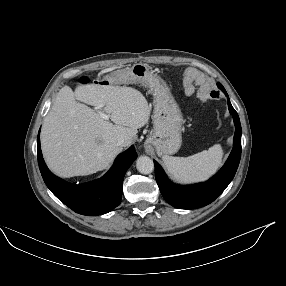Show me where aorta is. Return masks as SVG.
Returning <instances> with one entry per match:
<instances>
[{
	"instance_id": "aorta-1",
	"label": "aorta",
	"mask_w": 286,
	"mask_h": 286,
	"mask_svg": "<svg viewBox=\"0 0 286 286\" xmlns=\"http://www.w3.org/2000/svg\"><path fill=\"white\" fill-rule=\"evenodd\" d=\"M136 167L141 174H150L154 170V163L148 156H140L136 161Z\"/></svg>"
}]
</instances>
